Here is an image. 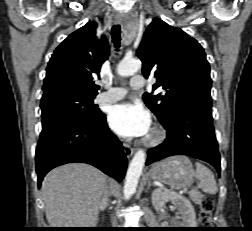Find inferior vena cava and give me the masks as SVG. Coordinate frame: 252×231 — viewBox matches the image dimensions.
Wrapping results in <instances>:
<instances>
[{"label":"inferior vena cava","mask_w":252,"mask_h":231,"mask_svg":"<svg viewBox=\"0 0 252 231\" xmlns=\"http://www.w3.org/2000/svg\"><path fill=\"white\" fill-rule=\"evenodd\" d=\"M102 202H103L104 204H107V202H108V194H107L106 191H105V195H104V197H103V199H102ZM115 222H116V220H115V218H113V224H115Z\"/></svg>","instance_id":"1"}]
</instances>
